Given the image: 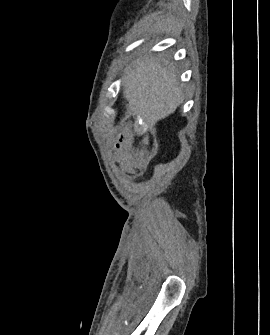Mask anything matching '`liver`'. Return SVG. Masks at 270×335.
Instances as JSON below:
<instances>
[{"label": "liver", "instance_id": "liver-1", "mask_svg": "<svg viewBox=\"0 0 270 335\" xmlns=\"http://www.w3.org/2000/svg\"><path fill=\"white\" fill-rule=\"evenodd\" d=\"M124 86L131 112L142 116L147 126H154L173 114L184 100L174 70L171 66L163 68L156 56L137 60V66L128 72Z\"/></svg>", "mask_w": 270, "mask_h": 335}]
</instances>
